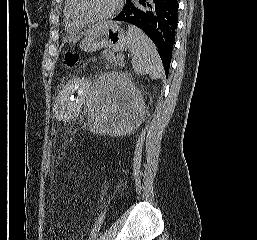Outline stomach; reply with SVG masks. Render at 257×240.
<instances>
[{
    "label": "stomach",
    "instance_id": "obj_1",
    "mask_svg": "<svg viewBox=\"0 0 257 240\" xmlns=\"http://www.w3.org/2000/svg\"><path fill=\"white\" fill-rule=\"evenodd\" d=\"M128 45L126 32L115 22H102L90 29L81 43V49L91 53L102 48L121 52Z\"/></svg>",
    "mask_w": 257,
    "mask_h": 240
}]
</instances>
